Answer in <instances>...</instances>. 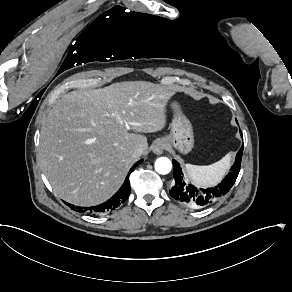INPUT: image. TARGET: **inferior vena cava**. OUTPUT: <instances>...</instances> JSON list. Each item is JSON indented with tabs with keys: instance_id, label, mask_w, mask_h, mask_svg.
I'll return each mask as SVG.
<instances>
[{
	"instance_id": "inferior-vena-cava-1",
	"label": "inferior vena cava",
	"mask_w": 292,
	"mask_h": 292,
	"mask_svg": "<svg viewBox=\"0 0 292 292\" xmlns=\"http://www.w3.org/2000/svg\"><path fill=\"white\" fill-rule=\"evenodd\" d=\"M143 154V148H137L134 151V157H140Z\"/></svg>"
}]
</instances>
